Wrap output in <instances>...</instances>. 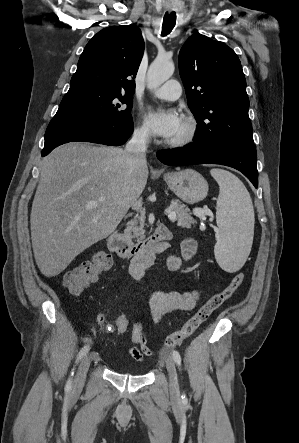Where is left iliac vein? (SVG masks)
Returning a JSON list of instances; mask_svg holds the SVG:
<instances>
[{
  "label": "left iliac vein",
  "mask_w": 299,
  "mask_h": 443,
  "mask_svg": "<svg viewBox=\"0 0 299 443\" xmlns=\"http://www.w3.org/2000/svg\"><path fill=\"white\" fill-rule=\"evenodd\" d=\"M166 368L169 373V387L171 395L175 398L179 397V383L174 360L171 356L166 359Z\"/></svg>",
  "instance_id": "obj_1"
}]
</instances>
